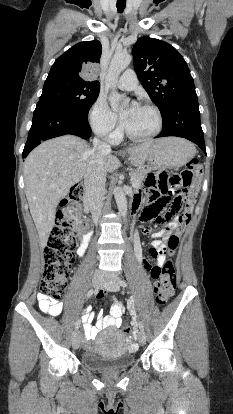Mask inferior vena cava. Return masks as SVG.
<instances>
[{"instance_id":"obj_1","label":"inferior vena cava","mask_w":233,"mask_h":414,"mask_svg":"<svg viewBox=\"0 0 233 414\" xmlns=\"http://www.w3.org/2000/svg\"><path fill=\"white\" fill-rule=\"evenodd\" d=\"M111 153L109 144L93 139V149L84 176V203L90 208L93 221L98 222L103 207L107 172L103 166V155Z\"/></svg>"}]
</instances>
